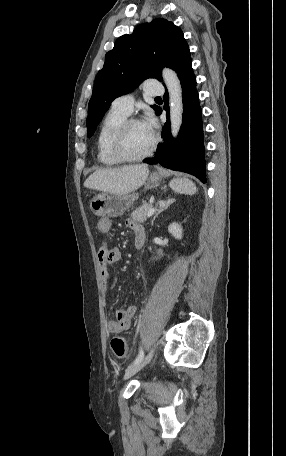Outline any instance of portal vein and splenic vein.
<instances>
[{
	"instance_id": "1",
	"label": "portal vein and splenic vein",
	"mask_w": 286,
	"mask_h": 456,
	"mask_svg": "<svg viewBox=\"0 0 286 456\" xmlns=\"http://www.w3.org/2000/svg\"><path fill=\"white\" fill-rule=\"evenodd\" d=\"M155 212V208H151L148 212V217L152 216Z\"/></svg>"
}]
</instances>
